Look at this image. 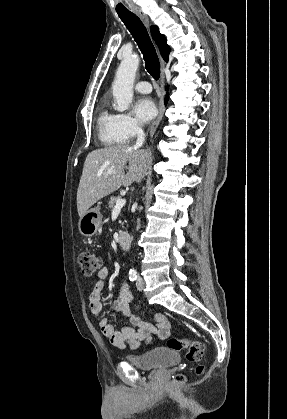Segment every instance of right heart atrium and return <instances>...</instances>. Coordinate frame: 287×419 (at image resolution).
<instances>
[{
  "instance_id": "1",
  "label": "right heart atrium",
  "mask_w": 287,
  "mask_h": 419,
  "mask_svg": "<svg viewBox=\"0 0 287 419\" xmlns=\"http://www.w3.org/2000/svg\"><path fill=\"white\" fill-rule=\"evenodd\" d=\"M116 122L118 132L126 142L142 132L141 124L128 113L116 114Z\"/></svg>"
}]
</instances>
